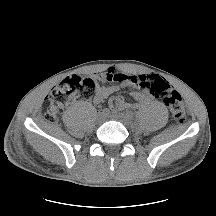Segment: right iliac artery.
I'll list each match as a JSON object with an SVG mask.
<instances>
[{"label": "right iliac artery", "mask_w": 216, "mask_h": 216, "mask_svg": "<svg viewBox=\"0 0 216 216\" xmlns=\"http://www.w3.org/2000/svg\"><path fill=\"white\" fill-rule=\"evenodd\" d=\"M101 113L108 115L110 113V110L108 108H104Z\"/></svg>", "instance_id": "right-iliac-artery-1"}]
</instances>
